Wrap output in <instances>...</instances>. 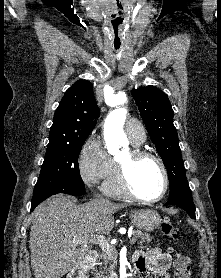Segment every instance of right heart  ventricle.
I'll return each mask as SVG.
<instances>
[{
    "label": "right heart ventricle",
    "mask_w": 221,
    "mask_h": 278,
    "mask_svg": "<svg viewBox=\"0 0 221 278\" xmlns=\"http://www.w3.org/2000/svg\"><path fill=\"white\" fill-rule=\"evenodd\" d=\"M132 145L134 148H139L142 145V143L132 142ZM103 188L107 194H109L113 197H125L126 196L125 193L122 191V189L119 186L116 168L106 179Z\"/></svg>",
    "instance_id": "e07e8e85"
}]
</instances>
